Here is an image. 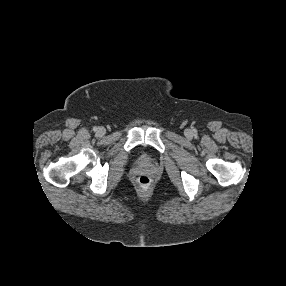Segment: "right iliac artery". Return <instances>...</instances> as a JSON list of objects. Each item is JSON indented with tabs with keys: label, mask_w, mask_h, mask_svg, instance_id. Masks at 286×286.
I'll return each mask as SVG.
<instances>
[{
	"label": "right iliac artery",
	"mask_w": 286,
	"mask_h": 286,
	"mask_svg": "<svg viewBox=\"0 0 286 286\" xmlns=\"http://www.w3.org/2000/svg\"><path fill=\"white\" fill-rule=\"evenodd\" d=\"M97 129H98V128H97L96 126H95V127H93V131H94V132H96V131H97Z\"/></svg>",
	"instance_id": "obj_1"
}]
</instances>
